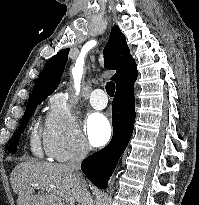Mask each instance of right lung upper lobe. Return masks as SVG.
Returning <instances> with one entry per match:
<instances>
[{"instance_id": "1", "label": "right lung upper lobe", "mask_w": 199, "mask_h": 205, "mask_svg": "<svg viewBox=\"0 0 199 205\" xmlns=\"http://www.w3.org/2000/svg\"><path fill=\"white\" fill-rule=\"evenodd\" d=\"M69 51V48L63 49L49 59L33 88L28 102L46 99L48 95L54 92L61 80ZM104 55L105 68L117 70L116 74L111 77L116 83V88L138 74L135 60L130 55L125 36L117 25L111 30Z\"/></svg>"}]
</instances>
